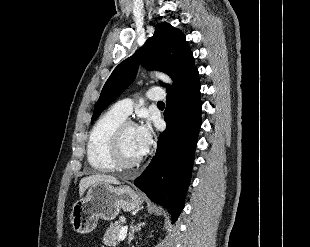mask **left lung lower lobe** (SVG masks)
<instances>
[{
  "label": "left lung lower lobe",
  "mask_w": 310,
  "mask_h": 247,
  "mask_svg": "<svg viewBox=\"0 0 310 247\" xmlns=\"http://www.w3.org/2000/svg\"><path fill=\"white\" fill-rule=\"evenodd\" d=\"M200 82L197 68L167 91L166 130L157 152L134 184L153 202L166 207L176 222L185 202L201 126Z\"/></svg>",
  "instance_id": "left-lung-lower-lobe-1"
}]
</instances>
